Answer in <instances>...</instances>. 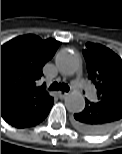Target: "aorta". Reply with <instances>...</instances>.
<instances>
[{
  "mask_svg": "<svg viewBox=\"0 0 122 154\" xmlns=\"http://www.w3.org/2000/svg\"><path fill=\"white\" fill-rule=\"evenodd\" d=\"M55 64L59 72L65 76L74 75L80 68L78 56L70 49L60 50L56 56ZM65 106L70 112H81L85 108V99L79 93H70L65 98Z\"/></svg>",
  "mask_w": 122,
  "mask_h": 154,
  "instance_id": "1",
  "label": "aorta"
}]
</instances>
